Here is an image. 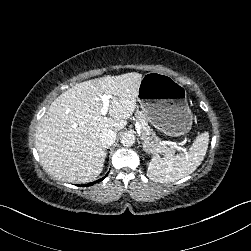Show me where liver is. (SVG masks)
<instances>
[{"label":"liver","instance_id":"1","mask_svg":"<svg viewBox=\"0 0 251 251\" xmlns=\"http://www.w3.org/2000/svg\"><path fill=\"white\" fill-rule=\"evenodd\" d=\"M142 75L130 72L75 84L60 95L36 127V148L50 175L74 184L88 183L103 170L106 152L99 140L104 129L115 132L135 108ZM102 95L110 117L100 115Z\"/></svg>","mask_w":251,"mask_h":251}]
</instances>
